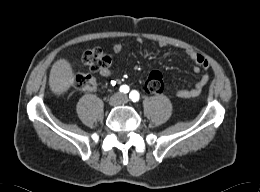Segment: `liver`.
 Listing matches in <instances>:
<instances>
[{
	"mask_svg": "<svg viewBox=\"0 0 260 192\" xmlns=\"http://www.w3.org/2000/svg\"><path fill=\"white\" fill-rule=\"evenodd\" d=\"M74 82L71 64L66 59H59L52 65L49 75V86L54 94L66 92Z\"/></svg>",
	"mask_w": 260,
	"mask_h": 192,
	"instance_id": "obj_1",
	"label": "liver"
}]
</instances>
